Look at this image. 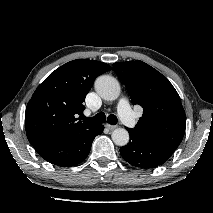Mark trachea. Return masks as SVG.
<instances>
[{"label":"trachea","instance_id":"obj_1","mask_svg":"<svg viewBox=\"0 0 213 213\" xmlns=\"http://www.w3.org/2000/svg\"><path fill=\"white\" fill-rule=\"evenodd\" d=\"M89 120L97 122V123H104L106 120V115L103 112H100L98 114H96L94 117L89 118ZM117 117L115 115H109L107 117V122L111 125H116L117 124Z\"/></svg>","mask_w":213,"mask_h":213}]
</instances>
